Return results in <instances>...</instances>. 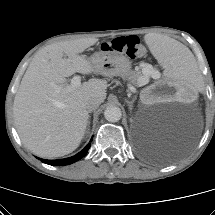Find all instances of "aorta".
Segmentation results:
<instances>
[{
    "instance_id": "762f6f07",
    "label": "aorta",
    "mask_w": 215,
    "mask_h": 215,
    "mask_svg": "<svg viewBox=\"0 0 215 215\" xmlns=\"http://www.w3.org/2000/svg\"><path fill=\"white\" fill-rule=\"evenodd\" d=\"M104 117L109 122H118L122 117L121 109L117 106H108L104 111Z\"/></svg>"
}]
</instances>
